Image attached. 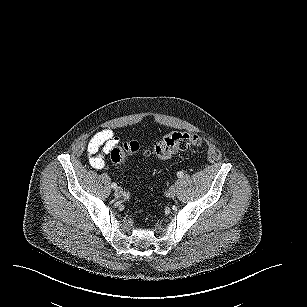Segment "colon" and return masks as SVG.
Segmentation results:
<instances>
[{
    "mask_svg": "<svg viewBox=\"0 0 307 307\" xmlns=\"http://www.w3.org/2000/svg\"><path fill=\"white\" fill-rule=\"evenodd\" d=\"M202 144V139L198 134L189 132H172L165 135L160 141L146 151L152 157L158 159H169L178 152L190 147H198ZM140 152V145L136 141H129L122 146H115L110 151V159L118 167L122 168L126 156ZM151 207L147 206L146 211L151 212Z\"/></svg>",
    "mask_w": 307,
    "mask_h": 307,
    "instance_id": "obj_1",
    "label": "colon"
}]
</instances>
